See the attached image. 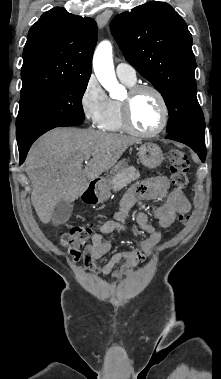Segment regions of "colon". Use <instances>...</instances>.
<instances>
[{
    "label": "colon",
    "mask_w": 221,
    "mask_h": 379,
    "mask_svg": "<svg viewBox=\"0 0 221 379\" xmlns=\"http://www.w3.org/2000/svg\"><path fill=\"white\" fill-rule=\"evenodd\" d=\"M172 184L177 188H184L188 184L189 160L187 155L179 149H171L168 153ZM180 220L186 223L188 216L181 215ZM91 229L88 226L74 225L60 235V242L71 248L72 254L79 258L80 250L85 248Z\"/></svg>",
    "instance_id": "colon-1"
}]
</instances>
